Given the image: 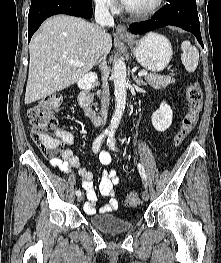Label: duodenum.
<instances>
[{"label":"duodenum","instance_id":"duodenum-1","mask_svg":"<svg viewBox=\"0 0 221 263\" xmlns=\"http://www.w3.org/2000/svg\"><path fill=\"white\" fill-rule=\"evenodd\" d=\"M96 82L97 77L92 73L86 74L79 81L80 93L78 95V104L86 114L91 116L96 115V111L93 108V104L91 101V90L95 86Z\"/></svg>","mask_w":221,"mask_h":263}]
</instances>
